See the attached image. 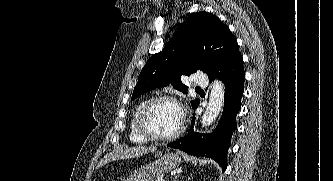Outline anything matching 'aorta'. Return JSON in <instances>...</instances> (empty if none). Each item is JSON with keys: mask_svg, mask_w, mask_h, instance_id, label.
Instances as JSON below:
<instances>
[{"mask_svg": "<svg viewBox=\"0 0 333 181\" xmlns=\"http://www.w3.org/2000/svg\"><path fill=\"white\" fill-rule=\"evenodd\" d=\"M224 104V85L216 80L212 84L208 105L202 116L203 127L211 125L219 116Z\"/></svg>", "mask_w": 333, "mask_h": 181, "instance_id": "1", "label": "aorta"}]
</instances>
